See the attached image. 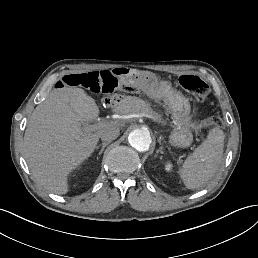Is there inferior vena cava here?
I'll return each mask as SVG.
<instances>
[{
    "instance_id": "602c4592",
    "label": "inferior vena cava",
    "mask_w": 258,
    "mask_h": 258,
    "mask_svg": "<svg viewBox=\"0 0 258 258\" xmlns=\"http://www.w3.org/2000/svg\"><path fill=\"white\" fill-rule=\"evenodd\" d=\"M119 129L114 126H107L101 131L100 138L102 141L111 142L119 136Z\"/></svg>"
}]
</instances>
